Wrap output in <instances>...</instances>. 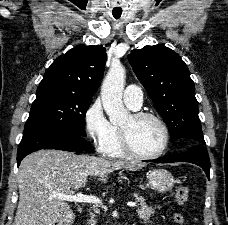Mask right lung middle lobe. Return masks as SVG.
I'll return each mask as SVG.
<instances>
[{
  "label": "right lung middle lobe",
  "mask_w": 228,
  "mask_h": 225,
  "mask_svg": "<svg viewBox=\"0 0 228 225\" xmlns=\"http://www.w3.org/2000/svg\"><path fill=\"white\" fill-rule=\"evenodd\" d=\"M91 101V96L66 88L38 87L25 129L43 126L58 127L85 137L84 119Z\"/></svg>",
  "instance_id": "1"
}]
</instances>
